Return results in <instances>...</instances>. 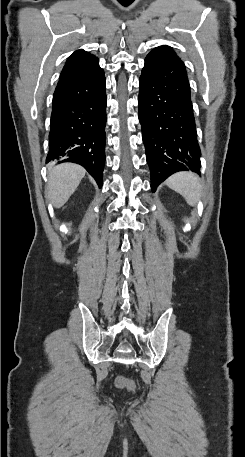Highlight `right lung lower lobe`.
Segmentation results:
<instances>
[{"instance_id": "1", "label": "right lung lower lobe", "mask_w": 245, "mask_h": 457, "mask_svg": "<svg viewBox=\"0 0 245 457\" xmlns=\"http://www.w3.org/2000/svg\"><path fill=\"white\" fill-rule=\"evenodd\" d=\"M102 68L59 80L53 97L46 163L82 165L102 186L106 101Z\"/></svg>"}]
</instances>
